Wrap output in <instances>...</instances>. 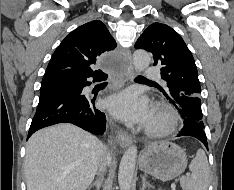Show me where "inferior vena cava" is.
<instances>
[{"instance_id": "obj_1", "label": "inferior vena cava", "mask_w": 234, "mask_h": 190, "mask_svg": "<svg viewBox=\"0 0 234 190\" xmlns=\"http://www.w3.org/2000/svg\"><path fill=\"white\" fill-rule=\"evenodd\" d=\"M108 159H109V154L107 153V151H105L100 159V163H99V173H103L106 169V166L108 164Z\"/></svg>"}]
</instances>
